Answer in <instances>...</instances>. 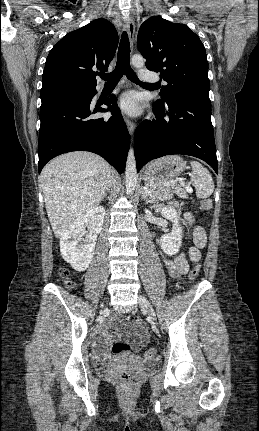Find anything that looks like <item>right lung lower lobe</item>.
<instances>
[{"instance_id": "right-lung-lower-lobe-1", "label": "right lung lower lobe", "mask_w": 259, "mask_h": 431, "mask_svg": "<svg viewBox=\"0 0 259 431\" xmlns=\"http://www.w3.org/2000/svg\"><path fill=\"white\" fill-rule=\"evenodd\" d=\"M96 88L67 92L42 99L39 131V173L62 153L87 150L99 154L119 173L125 169L130 136L114 95L104 102L108 109L90 107ZM110 110L109 118H94Z\"/></svg>"}]
</instances>
